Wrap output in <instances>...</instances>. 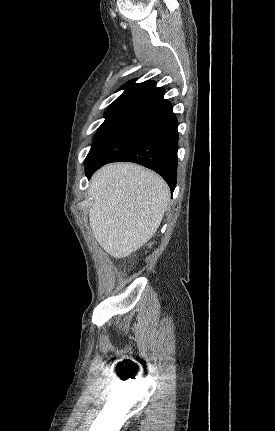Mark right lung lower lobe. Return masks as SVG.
<instances>
[{
	"label": "right lung lower lobe",
	"mask_w": 275,
	"mask_h": 431,
	"mask_svg": "<svg viewBox=\"0 0 275 431\" xmlns=\"http://www.w3.org/2000/svg\"><path fill=\"white\" fill-rule=\"evenodd\" d=\"M163 97L138 110L111 138L92 162L86 176L118 161L141 164L160 174L174 191L177 180L178 122Z\"/></svg>",
	"instance_id": "right-lung-lower-lobe-1"
}]
</instances>
